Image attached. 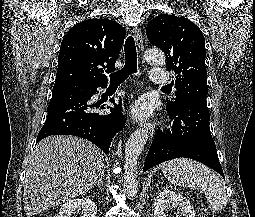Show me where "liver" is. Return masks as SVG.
<instances>
[{
  "label": "liver",
  "instance_id": "liver-1",
  "mask_svg": "<svg viewBox=\"0 0 255 217\" xmlns=\"http://www.w3.org/2000/svg\"><path fill=\"white\" fill-rule=\"evenodd\" d=\"M104 170L103 152L91 142L75 136L43 139L31 153L26 170L27 216L85 194Z\"/></svg>",
  "mask_w": 255,
  "mask_h": 217
}]
</instances>
